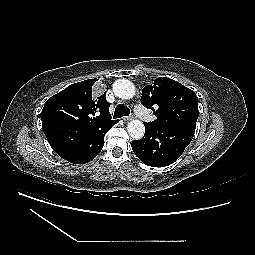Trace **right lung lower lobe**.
<instances>
[{
    "label": "right lung lower lobe",
    "instance_id": "right-lung-lower-lobe-1",
    "mask_svg": "<svg viewBox=\"0 0 255 255\" xmlns=\"http://www.w3.org/2000/svg\"><path fill=\"white\" fill-rule=\"evenodd\" d=\"M111 128L112 126L92 131L80 139L61 157L75 164H85L93 160L102 150L104 136Z\"/></svg>",
    "mask_w": 255,
    "mask_h": 255
}]
</instances>
